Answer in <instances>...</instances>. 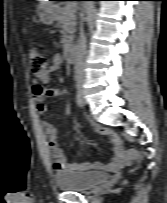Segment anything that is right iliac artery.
Returning <instances> with one entry per match:
<instances>
[{"label":"right iliac artery","instance_id":"obj_1","mask_svg":"<svg viewBox=\"0 0 167 203\" xmlns=\"http://www.w3.org/2000/svg\"><path fill=\"white\" fill-rule=\"evenodd\" d=\"M75 101H76V103H77V105L79 107H83L84 106V101H83V99H82L80 94H76Z\"/></svg>","mask_w":167,"mask_h":203}]
</instances>
